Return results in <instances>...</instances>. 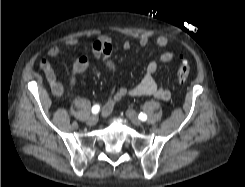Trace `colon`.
<instances>
[{
	"label": "colon",
	"instance_id": "obj_1",
	"mask_svg": "<svg viewBox=\"0 0 245 187\" xmlns=\"http://www.w3.org/2000/svg\"><path fill=\"white\" fill-rule=\"evenodd\" d=\"M189 73L190 67L188 63L185 60L181 59L176 71L178 81L184 83L187 80Z\"/></svg>",
	"mask_w": 245,
	"mask_h": 187
}]
</instances>
